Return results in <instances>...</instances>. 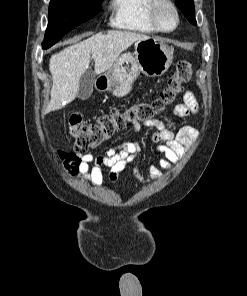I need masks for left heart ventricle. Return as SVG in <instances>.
Returning a JSON list of instances; mask_svg holds the SVG:
<instances>
[{
  "instance_id": "obj_1",
  "label": "left heart ventricle",
  "mask_w": 247,
  "mask_h": 296,
  "mask_svg": "<svg viewBox=\"0 0 247 296\" xmlns=\"http://www.w3.org/2000/svg\"><path fill=\"white\" fill-rule=\"evenodd\" d=\"M160 22L164 28H171L174 25V15L168 7H162L159 12Z\"/></svg>"
}]
</instances>
